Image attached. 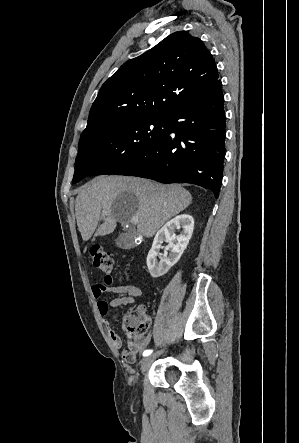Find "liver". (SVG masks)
I'll use <instances>...</instances> for the list:
<instances>
[{
    "mask_svg": "<svg viewBox=\"0 0 299 443\" xmlns=\"http://www.w3.org/2000/svg\"><path fill=\"white\" fill-rule=\"evenodd\" d=\"M191 202L190 192L180 186L135 177L99 176L82 187L75 214L83 241L94 233L95 237L112 233L117 222H130L132 216L139 219L138 232L150 238ZM100 219L103 223L98 226Z\"/></svg>",
    "mask_w": 299,
    "mask_h": 443,
    "instance_id": "6515ba94",
    "label": "liver"
}]
</instances>
